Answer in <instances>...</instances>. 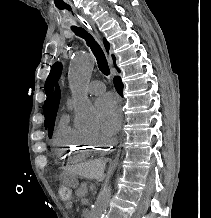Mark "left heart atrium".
I'll list each match as a JSON object with an SVG mask.
<instances>
[{
  "instance_id": "39dd6f15",
  "label": "left heart atrium",
  "mask_w": 211,
  "mask_h": 218,
  "mask_svg": "<svg viewBox=\"0 0 211 218\" xmlns=\"http://www.w3.org/2000/svg\"><path fill=\"white\" fill-rule=\"evenodd\" d=\"M96 110L101 131L109 136H114L120 127L122 111L120 104L111 93L104 94L97 99Z\"/></svg>"
}]
</instances>
